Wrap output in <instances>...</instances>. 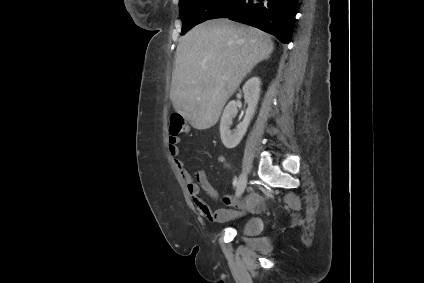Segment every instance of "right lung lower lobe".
I'll return each mask as SVG.
<instances>
[{"label":"right lung lower lobe","mask_w":424,"mask_h":283,"mask_svg":"<svg viewBox=\"0 0 424 283\" xmlns=\"http://www.w3.org/2000/svg\"><path fill=\"white\" fill-rule=\"evenodd\" d=\"M298 0H229L209 19L228 18L275 35L288 44Z\"/></svg>","instance_id":"obj_1"}]
</instances>
